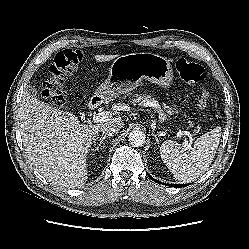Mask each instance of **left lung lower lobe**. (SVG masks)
<instances>
[{
  "instance_id": "obj_1",
  "label": "left lung lower lobe",
  "mask_w": 249,
  "mask_h": 249,
  "mask_svg": "<svg viewBox=\"0 0 249 249\" xmlns=\"http://www.w3.org/2000/svg\"><path fill=\"white\" fill-rule=\"evenodd\" d=\"M148 176H149V178H150L152 181H155V182H157V183H160V182H158L157 180H155L154 178H152L150 175H148ZM168 186H170V187L182 188V187L187 186V184H168Z\"/></svg>"
}]
</instances>
